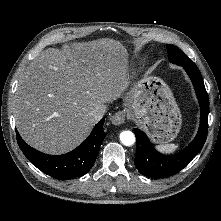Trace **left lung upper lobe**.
<instances>
[{"label":"left lung upper lobe","instance_id":"obj_1","mask_svg":"<svg viewBox=\"0 0 221 221\" xmlns=\"http://www.w3.org/2000/svg\"><path fill=\"white\" fill-rule=\"evenodd\" d=\"M168 58L172 63L177 65H190L193 61L188 58L181 50L173 45L167 44Z\"/></svg>","mask_w":221,"mask_h":221}]
</instances>
